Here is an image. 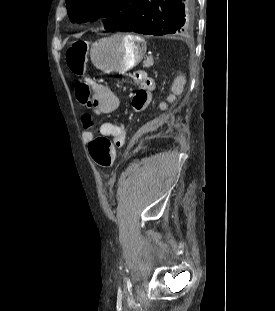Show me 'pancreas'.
Masks as SVG:
<instances>
[{
	"label": "pancreas",
	"mask_w": 275,
	"mask_h": 311,
	"mask_svg": "<svg viewBox=\"0 0 275 311\" xmlns=\"http://www.w3.org/2000/svg\"><path fill=\"white\" fill-rule=\"evenodd\" d=\"M143 64H144V66H146V64H147V60H146V61H144V63H143Z\"/></svg>",
	"instance_id": "obj_1"
}]
</instances>
